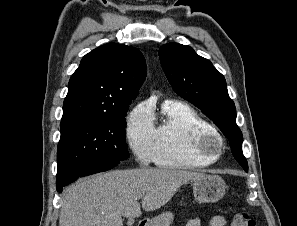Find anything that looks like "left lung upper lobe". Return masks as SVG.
I'll return each mask as SVG.
<instances>
[{
    "mask_svg": "<svg viewBox=\"0 0 297 226\" xmlns=\"http://www.w3.org/2000/svg\"><path fill=\"white\" fill-rule=\"evenodd\" d=\"M159 54L174 91L214 121L231 142L234 158L248 172L242 152V132L236 124V108L229 97L224 76L189 46L168 43L161 46Z\"/></svg>",
    "mask_w": 297,
    "mask_h": 226,
    "instance_id": "left-lung-upper-lobe-1",
    "label": "left lung upper lobe"
}]
</instances>
